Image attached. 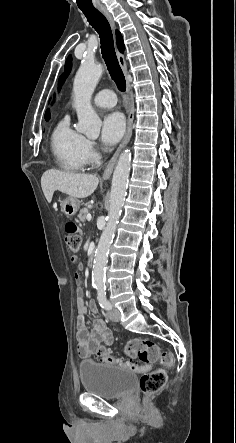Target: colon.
<instances>
[{
  "instance_id": "obj_1",
  "label": "colon",
  "mask_w": 236,
  "mask_h": 443,
  "mask_svg": "<svg viewBox=\"0 0 236 443\" xmlns=\"http://www.w3.org/2000/svg\"><path fill=\"white\" fill-rule=\"evenodd\" d=\"M64 231L65 242L72 253V260L74 261L81 242L78 227L76 223L68 221L64 225ZM77 275L76 273L75 277ZM93 351L98 360L125 369L146 370L156 361H160L165 367L173 365L172 354L162 351L155 342L149 339L135 338L128 340L124 344V353L129 357L128 360L112 356L104 346H95ZM166 381V370L159 368L152 372H147L141 377L140 389L145 394H153L158 392L165 385Z\"/></svg>"
}]
</instances>
